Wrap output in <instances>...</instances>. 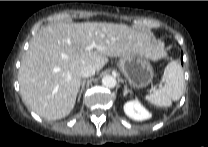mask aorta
Listing matches in <instances>:
<instances>
[{"mask_svg": "<svg viewBox=\"0 0 208 147\" xmlns=\"http://www.w3.org/2000/svg\"><path fill=\"white\" fill-rule=\"evenodd\" d=\"M116 83L117 81L113 76L106 75L102 78V84L107 88H114L116 86Z\"/></svg>", "mask_w": 208, "mask_h": 147, "instance_id": "aorta-1", "label": "aorta"}]
</instances>
